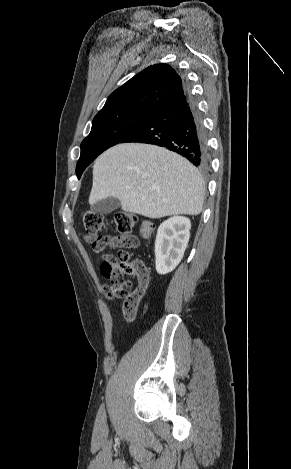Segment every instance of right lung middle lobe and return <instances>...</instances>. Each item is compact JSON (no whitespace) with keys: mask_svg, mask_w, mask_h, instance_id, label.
<instances>
[{"mask_svg":"<svg viewBox=\"0 0 291 469\" xmlns=\"http://www.w3.org/2000/svg\"><path fill=\"white\" fill-rule=\"evenodd\" d=\"M145 110H126L95 117L90 134L81 143V156L76 173L80 178L85 168L103 151L120 143L152 114Z\"/></svg>","mask_w":291,"mask_h":469,"instance_id":"dd1d6c3e","label":"right lung middle lobe"}]
</instances>
